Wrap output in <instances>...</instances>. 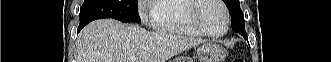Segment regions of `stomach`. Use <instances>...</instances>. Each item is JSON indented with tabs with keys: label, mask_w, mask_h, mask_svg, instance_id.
<instances>
[{
	"label": "stomach",
	"mask_w": 331,
	"mask_h": 62,
	"mask_svg": "<svg viewBox=\"0 0 331 62\" xmlns=\"http://www.w3.org/2000/svg\"><path fill=\"white\" fill-rule=\"evenodd\" d=\"M226 50L216 43H204L198 49L199 62H224ZM171 62H193L185 57H178Z\"/></svg>",
	"instance_id": "1"
}]
</instances>
